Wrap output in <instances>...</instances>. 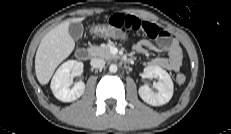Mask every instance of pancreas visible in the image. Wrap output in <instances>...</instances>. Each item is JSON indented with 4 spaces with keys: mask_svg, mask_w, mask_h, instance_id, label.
<instances>
[{
    "mask_svg": "<svg viewBox=\"0 0 231 134\" xmlns=\"http://www.w3.org/2000/svg\"><path fill=\"white\" fill-rule=\"evenodd\" d=\"M89 52L94 57H101L105 59H114L117 56L111 54L108 45L92 46L89 48Z\"/></svg>",
    "mask_w": 231,
    "mask_h": 134,
    "instance_id": "obj_1",
    "label": "pancreas"
}]
</instances>
